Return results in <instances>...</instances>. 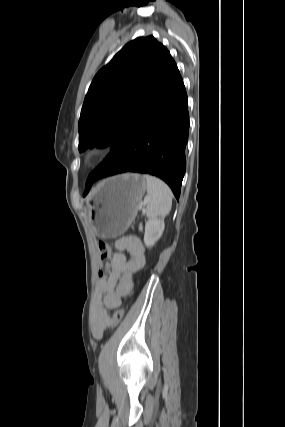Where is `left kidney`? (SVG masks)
Instances as JSON below:
<instances>
[{"label":"left kidney","mask_w":285,"mask_h":427,"mask_svg":"<svg viewBox=\"0 0 285 427\" xmlns=\"http://www.w3.org/2000/svg\"><path fill=\"white\" fill-rule=\"evenodd\" d=\"M165 228L164 220H149L145 224L144 243L146 247L153 246L162 236Z\"/></svg>","instance_id":"obj_1"}]
</instances>
